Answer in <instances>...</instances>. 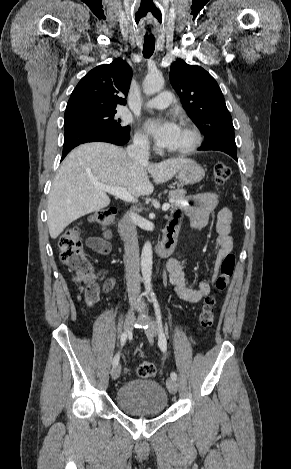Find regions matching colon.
Here are the masks:
<instances>
[{"label": "colon", "instance_id": "colon-1", "mask_svg": "<svg viewBox=\"0 0 291 469\" xmlns=\"http://www.w3.org/2000/svg\"><path fill=\"white\" fill-rule=\"evenodd\" d=\"M231 174L232 169L228 164L223 162L216 163L213 168V181L215 185L220 187L225 184L231 177ZM114 214L115 211L112 208L99 210L87 218V223L103 228L110 224ZM81 230L82 224L81 226L67 230L61 236L59 240L60 260L73 272L75 282L81 283L82 281L92 280L97 284V278L93 275L92 268L85 258ZM235 262V256L231 253L222 260L219 274L215 281V291H223L226 289L233 274ZM103 274L104 272L100 276H103ZM112 287L113 283L108 281L106 288L110 289ZM99 295V288L95 285H87L85 289V302L87 306H94L99 300ZM215 308V296H207L198 317L200 327L207 329L213 326L215 321ZM155 371L154 364L149 361L142 362L137 369V373L141 378H150L155 374Z\"/></svg>", "mask_w": 291, "mask_h": 469}]
</instances>
